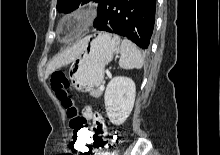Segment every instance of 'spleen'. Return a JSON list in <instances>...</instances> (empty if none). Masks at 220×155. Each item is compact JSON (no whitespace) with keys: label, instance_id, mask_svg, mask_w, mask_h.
<instances>
[{"label":"spleen","instance_id":"obj_1","mask_svg":"<svg viewBox=\"0 0 220 155\" xmlns=\"http://www.w3.org/2000/svg\"><path fill=\"white\" fill-rule=\"evenodd\" d=\"M119 66L126 70L140 69L143 66V58L140 51L128 39H123L121 42Z\"/></svg>","mask_w":220,"mask_h":155}]
</instances>
